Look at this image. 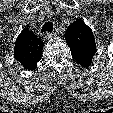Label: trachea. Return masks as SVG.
<instances>
[{
	"instance_id": "trachea-1",
	"label": "trachea",
	"mask_w": 113,
	"mask_h": 113,
	"mask_svg": "<svg viewBox=\"0 0 113 113\" xmlns=\"http://www.w3.org/2000/svg\"><path fill=\"white\" fill-rule=\"evenodd\" d=\"M52 30H53V23L49 21L43 25L41 29V33H45V32L51 33Z\"/></svg>"
}]
</instances>
